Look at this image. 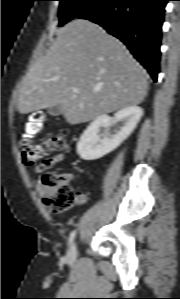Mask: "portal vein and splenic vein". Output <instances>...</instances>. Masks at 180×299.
<instances>
[{
  "instance_id": "18ae733b",
  "label": "portal vein and splenic vein",
  "mask_w": 180,
  "mask_h": 299,
  "mask_svg": "<svg viewBox=\"0 0 180 299\" xmlns=\"http://www.w3.org/2000/svg\"><path fill=\"white\" fill-rule=\"evenodd\" d=\"M75 93H79V90L78 89H74L73 90Z\"/></svg>"
}]
</instances>
